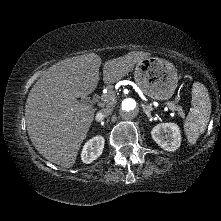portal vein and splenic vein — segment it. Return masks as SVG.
<instances>
[{
  "label": "portal vein and splenic vein",
  "mask_w": 221,
  "mask_h": 221,
  "mask_svg": "<svg viewBox=\"0 0 221 221\" xmlns=\"http://www.w3.org/2000/svg\"><path fill=\"white\" fill-rule=\"evenodd\" d=\"M102 99H103L104 101H106L105 98H104V96H102ZM166 105H167L168 108H169L170 110H172V111L178 110V108H177L176 106H174L173 104H171V103H169V102H166Z\"/></svg>",
  "instance_id": "18ae733b"
}]
</instances>
